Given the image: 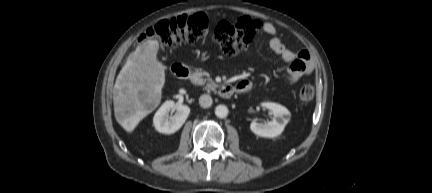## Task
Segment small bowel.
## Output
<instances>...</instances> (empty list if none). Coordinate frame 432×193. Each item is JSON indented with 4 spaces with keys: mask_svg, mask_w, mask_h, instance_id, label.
Returning a JSON list of instances; mask_svg holds the SVG:
<instances>
[{
    "mask_svg": "<svg viewBox=\"0 0 432 193\" xmlns=\"http://www.w3.org/2000/svg\"><path fill=\"white\" fill-rule=\"evenodd\" d=\"M240 22L247 23L253 33L263 32L270 36L269 46L271 50L280 58L289 64L287 69V78L290 84H295L300 78L310 74L314 69V63L307 51L294 52L286 47L277 36L276 27L270 23L261 20H251L242 18ZM238 93H245L252 88V83L248 80L240 81L236 86Z\"/></svg>",
    "mask_w": 432,
    "mask_h": 193,
    "instance_id": "1",
    "label": "small bowel"
}]
</instances>
